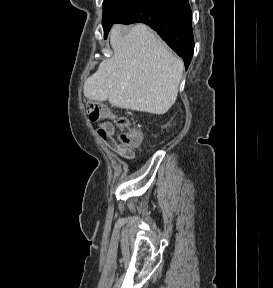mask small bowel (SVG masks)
<instances>
[{"label": "small bowel", "instance_id": "c3829d8e", "mask_svg": "<svg viewBox=\"0 0 273 288\" xmlns=\"http://www.w3.org/2000/svg\"><path fill=\"white\" fill-rule=\"evenodd\" d=\"M102 130H103V134L101 135V137L103 138V140L105 141V143L111 150L118 153L123 158H126V159L133 158L134 153L132 150L124 146H120L114 141V139L112 138L113 128L109 124H105Z\"/></svg>", "mask_w": 273, "mask_h": 288}]
</instances>
